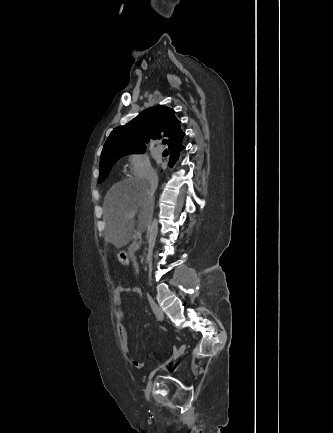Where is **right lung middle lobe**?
I'll use <instances>...</instances> for the list:
<instances>
[{"mask_svg": "<svg viewBox=\"0 0 333 433\" xmlns=\"http://www.w3.org/2000/svg\"><path fill=\"white\" fill-rule=\"evenodd\" d=\"M145 150H138V151H132L122 154H113L108 156L105 159L100 160V166H99V183H101L103 180L106 179L108 176L112 166L123 156L133 153H144Z\"/></svg>", "mask_w": 333, "mask_h": 433, "instance_id": "1", "label": "right lung middle lobe"}]
</instances>
